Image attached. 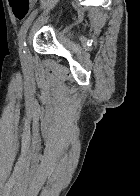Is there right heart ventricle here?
<instances>
[{
	"instance_id": "e07e8e85",
	"label": "right heart ventricle",
	"mask_w": 140,
	"mask_h": 196,
	"mask_svg": "<svg viewBox=\"0 0 140 196\" xmlns=\"http://www.w3.org/2000/svg\"><path fill=\"white\" fill-rule=\"evenodd\" d=\"M22 192H37V191H22Z\"/></svg>"
}]
</instances>
